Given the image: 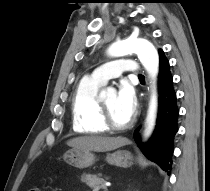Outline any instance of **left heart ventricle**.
Segmentation results:
<instances>
[{"label":"left heart ventricle","mask_w":210,"mask_h":191,"mask_svg":"<svg viewBox=\"0 0 210 191\" xmlns=\"http://www.w3.org/2000/svg\"><path fill=\"white\" fill-rule=\"evenodd\" d=\"M103 102L105 103L106 107L108 108L113 121L117 125H123L130 120V118L119 109V107L117 105V96L116 95L108 96L107 98H105L103 100Z\"/></svg>","instance_id":"obj_1"}]
</instances>
